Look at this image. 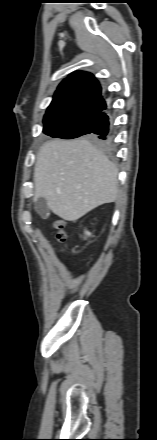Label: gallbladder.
<instances>
[{
    "label": "gallbladder",
    "mask_w": 157,
    "mask_h": 440,
    "mask_svg": "<svg viewBox=\"0 0 157 440\" xmlns=\"http://www.w3.org/2000/svg\"><path fill=\"white\" fill-rule=\"evenodd\" d=\"M35 208L41 217H45L46 214L49 212L46 199L42 197L38 198L35 201Z\"/></svg>",
    "instance_id": "obj_1"
}]
</instances>
